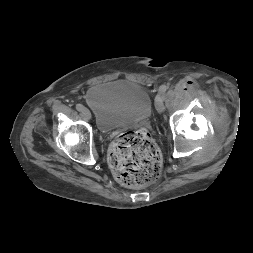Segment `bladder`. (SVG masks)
Listing matches in <instances>:
<instances>
[{"instance_id": "bladder-1", "label": "bladder", "mask_w": 253, "mask_h": 253, "mask_svg": "<svg viewBox=\"0 0 253 253\" xmlns=\"http://www.w3.org/2000/svg\"><path fill=\"white\" fill-rule=\"evenodd\" d=\"M86 101L95 114L97 126L103 131L140 122L152 111V99L147 90L127 80L92 87Z\"/></svg>"}]
</instances>
